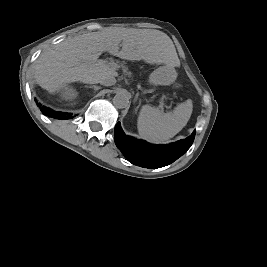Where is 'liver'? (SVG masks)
<instances>
[{
	"label": "liver",
	"instance_id": "obj_1",
	"mask_svg": "<svg viewBox=\"0 0 267 267\" xmlns=\"http://www.w3.org/2000/svg\"><path fill=\"white\" fill-rule=\"evenodd\" d=\"M103 52L121 59L144 60L171 68L180 65L175 46L165 33L117 28L69 37L45 50L33 65L35 80L43 89L55 93L68 83L95 84L103 76H117L116 69L98 60Z\"/></svg>",
	"mask_w": 267,
	"mask_h": 267
}]
</instances>
